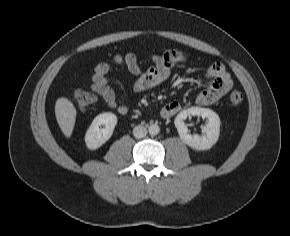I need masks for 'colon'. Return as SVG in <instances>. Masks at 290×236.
Instances as JSON below:
<instances>
[{"label": "colon", "mask_w": 290, "mask_h": 236, "mask_svg": "<svg viewBox=\"0 0 290 236\" xmlns=\"http://www.w3.org/2000/svg\"><path fill=\"white\" fill-rule=\"evenodd\" d=\"M73 98L76 106L80 110H86L95 100L94 96L86 90H77L74 93ZM230 101L235 105L240 104L243 101V94L239 91L232 92L230 94Z\"/></svg>", "instance_id": "obj_1"}]
</instances>
